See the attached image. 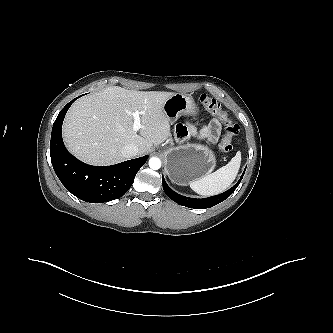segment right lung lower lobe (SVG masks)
Listing matches in <instances>:
<instances>
[{"instance_id": "right-lung-lower-lobe-1", "label": "right lung lower lobe", "mask_w": 333, "mask_h": 333, "mask_svg": "<svg viewBox=\"0 0 333 333\" xmlns=\"http://www.w3.org/2000/svg\"><path fill=\"white\" fill-rule=\"evenodd\" d=\"M77 98L60 111L53 124L50 156L54 171L65 188L83 201L103 203L118 199L130 189L148 156L112 166H91L71 155L64 146L61 128L67 110Z\"/></svg>"}]
</instances>
